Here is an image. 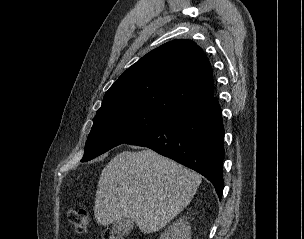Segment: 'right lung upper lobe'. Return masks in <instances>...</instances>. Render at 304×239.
Here are the masks:
<instances>
[{"instance_id":"cb5924a9","label":"right lung upper lobe","mask_w":304,"mask_h":239,"mask_svg":"<svg viewBox=\"0 0 304 239\" xmlns=\"http://www.w3.org/2000/svg\"><path fill=\"white\" fill-rule=\"evenodd\" d=\"M214 95L210 62L193 41L177 39L152 50L106 92L97 114L144 108L175 116Z\"/></svg>"}]
</instances>
